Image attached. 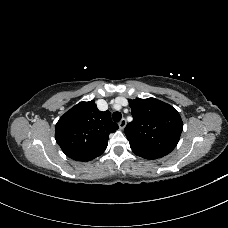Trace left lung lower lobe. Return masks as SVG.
<instances>
[{
	"instance_id": "1",
	"label": "left lung lower lobe",
	"mask_w": 228,
	"mask_h": 228,
	"mask_svg": "<svg viewBox=\"0 0 228 228\" xmlns=\"http://www.w3.org/2000/svg\"><path fill=\"white\" fill-rule=\"evenodd\" d=\"M134 153L146 159H157V158L163 157L162 155L154 154V153H139V152H134Z\"/></svg>"
}]
</instances>
